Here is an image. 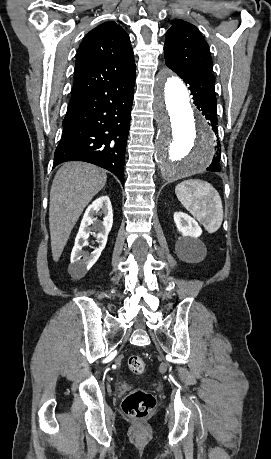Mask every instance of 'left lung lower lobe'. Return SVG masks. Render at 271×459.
<instances>
[{"mask_svg": "<svg viewBox=\"0 0 271 459\" xmlns=\"http://www.w3.org/2000/svg\"><path fill=\"white\" fill-rule=\"evenodd\" d=\"M187 85H189V90L191 95H193V100L197 108L202 111V114L205 115V118L210 121L212 129L215 134L218 133L217 129V104L215 96V77L212 74L201 75V76H191L178 74ZM217 137V146H215V154L213 156V161L211 165L206 169L207 171L220 172L221 171V146L218 142Z\"/></svg>", "mask_w": 271, "mask_h": 459, "instance_id": "left-lung-lower-lobe-1", "label": "left lung lower lobe"}]
</instances>
